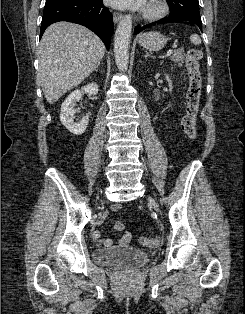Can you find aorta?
<instances>
[{
	"instance_id": "aorta-1",
	"label": "aorta",
	"mask_w": 245,
	"mask_h": 314,
	"mask_svg": "<svg viewBox=\"0 0 245 314\" xmlns=\"http://www.w3.org/2000/svg\"><path fill=\"white\" fill-rule=\"evenodd\" d=\"M132 33V19L125 15L117 26L114 36V56L118 69L127 70L129 63V46Z\"/></svg>"
}]
</instances>
